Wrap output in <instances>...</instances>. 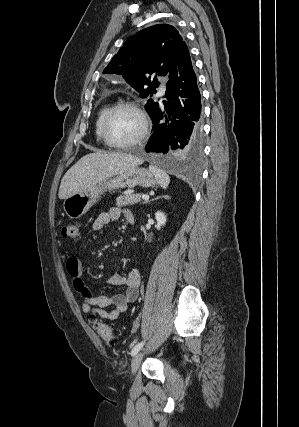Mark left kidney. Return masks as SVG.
<instances>
[{
  "instance_id": "obj_1",
  "label": "left kidney",
  "mask_w": 299,
  "mask_h": 427,
  "mask_svg": "<svg viewBox=\"0 0 299 427\" xmlns=\"http://www.w3.org/2000/svg\"><path fill=\"white\" fill-rule=\"evenodd\" d=\"M155 219L157 220L158 224H160L161 226H164L167 221L165 213L161 211H157L155 213Z\"/></svg>"
}]
</instances>
